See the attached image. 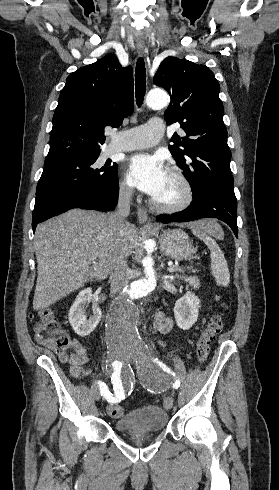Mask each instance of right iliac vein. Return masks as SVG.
<instances>
[{
  "mask_svg": "<svg viewBox=\"0 0 279 490\" xmlns=\"http://www.w3.org/2000/svg\"><path fill=\"white\" fill-rule=\"evenodd\" d=\"M116 358H117V357H116V355H112V356H110V357H109L110 361H113V360H115ZM99 398H100V394H99V392L97 391V394H96V399H97V400H99Z\"/></svg>",
  "mask_w": 279,
  "mask_h": 490,
  "instance_id": "right-iliac-vein-1",
  "label": "right iliac vein"
}]
</instances>
